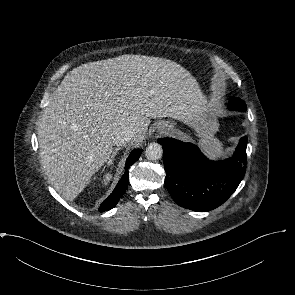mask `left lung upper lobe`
Segmentation results:
<instances>
[{
    "label": "left lung upper lobe",
    "instance_id": "obj_1",
    "mask_svg": "<svg viewBox=\"0 0 295 295\" xmlns=\"http://www.w3.org/2000/svg\"><path fill=\"white\" fill-rule=\"evenodd\" d=\"M228 108L235 109L238 111H246L247 106H246L245 102L242 101L241 99L233 98L230 100Z\"/></svg>",
    "mask_w": 295,
    "mask_h": 295
}]
</instances>
